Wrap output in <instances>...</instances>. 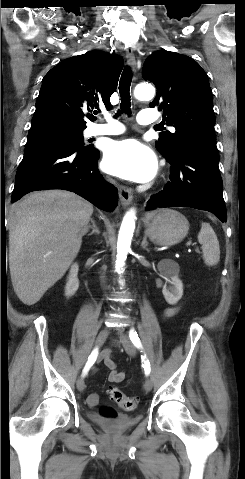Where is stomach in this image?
Masks as SVG:
<instances>
[{
    "label": "stomach",
    "mask_w": 245,
    "mask_h": 479,
    "mask_svg": "<svg viewBox=\"0 0 245 479\" xmlns=\"http://www.w3.org/2000/svg\"><path fill=\"white\" fill-rule=\"evenodd\" d=\"M189 230V222L181 213L162 209L154 213L146 224L145 235L157 245L172 246L181 242Z\"/></svg>",
    "instance_id": "obj_1"
}]
</instances>
